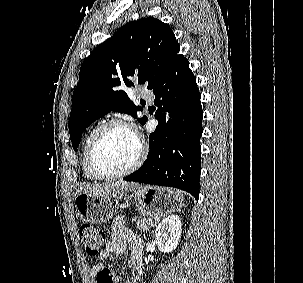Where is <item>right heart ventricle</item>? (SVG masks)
Wrapping results in <instances>:
<instances>
[{
    "label": "right heart ventricle",
    "mask_w": 303,
    "mask_h": 283,
    "mask_svg": "<svg viewBox=\"0 0 303 283\" xmlns=\"http://www.w3.org/2000/svg\"><path fill=\"white\" fill-rule=\"evenodd\" d=\"M99 126H100V124H96L88 130V132L85 136L83 145H82V149H81V167H82L84 176L88 180H91V181L100 180L96 175H94V173L90 169L89 164H88V158H87L90 142H91L92 137L95 134L96 130L99 128Z\"/></svg>",
    "instance_id": "e07e8e85"
}]
</instances>
